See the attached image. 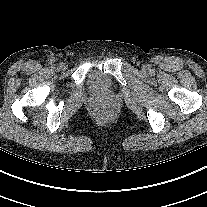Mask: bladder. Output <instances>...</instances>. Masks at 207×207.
Listing matches in <instances>:
<instances>
[{"label": "bladder", "mask_w": 207, "mask_h": 207, "mask_svg": "<svg viewBox=\"0 0 207 207\" xmlns=\"http://www.w3.org/2000/svg\"><path fill=\"white\" fill-rule=\"evenodd\" d=\"M107 82V76L101 72L95 71L90 76V84L96 89H102Z\"/></svg>", "instance_id": "1"}]
</instances>
